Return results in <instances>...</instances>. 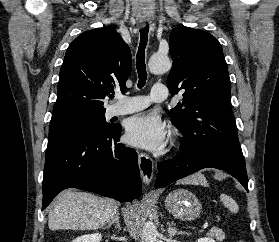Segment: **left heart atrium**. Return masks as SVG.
<instances>
[{"instance_id": "1", "label": "left heart atrium", "mask_w": 279, "mask_h": 242, "mask_svg": "<svg viewBox=\"0 0 279 242\" xmlns=\"http://www.w3.org/2000/svg\"><path fill=\"white\" fill-rule=\"evenodd\" d=\"M125 137L133 146L159 151L166 143L167 131L157 116L142 113L127 121Z\"/></svg>"}]
</instances>
